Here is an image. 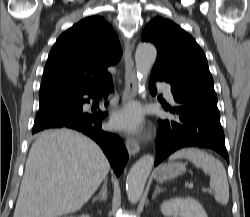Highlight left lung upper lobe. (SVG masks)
<instances>
[{
    "label": "left lung upper lobe",
    "mask_w": 250,
    "mask_h": 217,
    "mask_svg": "<svg viewBox=\"0 0 250 217\" xmlns=\"http://www.w3.org/2000/svg\"><path fill=\"white\" fill-rule=\"evenodd\" d=\"M142 41L157 48L151 75L173 86L214 90L206 56L191 35L173 21L156 17L142 32Z\"/></svg>",
    "instance_id": "1"
}]
</instances>
